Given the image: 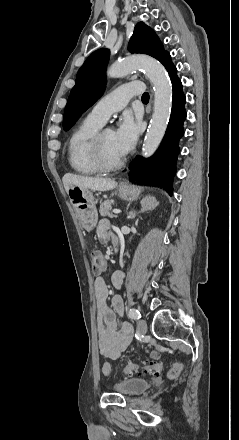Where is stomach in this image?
I'll return each mask as SVG.
<instances>
[{"label": "stomach", "instance_id": "1", "mask_svg": "<svg viewBox=\"0 0 239 440\" xmlns=\"http://www.w3.org/2000/svg\"><path fill=\"white\" fill-rule=\"evenodd\" d=\"M120 198L127 202L138 200L142 188L139 186H127V188H118ZM70 202L75 210V214L83 228L87 232L94 230L98 222V214L94 202V196L87 188H72L69 190Z\"/></svg>", "mask_w": 239, "mask_h": 440}]
</instances>
